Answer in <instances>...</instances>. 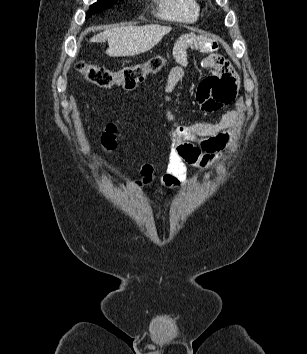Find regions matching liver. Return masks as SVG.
<instances>
[{
  "mask_svg": "<svg viewBox=\"0 0 307 354\" xmlns=\"http://www.w3.org/2000/svg\"><path fill=\"white\" fill-rule=\"evenodd\" d=\"M171 30V27L160 25L114 27L97 34L90 42L107 40L106 54L110 57L135 56L152 49Z\"/></svg>",
  "mask_w": 307,
  "mask_h": 354,
  "instance_id": "liver-1",
  "label": "liver"
}]
</instances>
